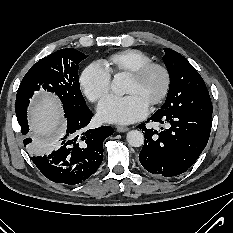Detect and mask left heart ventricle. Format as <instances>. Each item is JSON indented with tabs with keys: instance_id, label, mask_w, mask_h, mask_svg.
<instances>
[{
	"instance_id": "left-heart-ventricle-1",
	"label": "left heart ventricle",
	"mask_w": 233,
	"mask_h": 233,
	"mask_svg": "<svg viewBox=\"0 0 233 233\" xmlns=\"http://www.w3.org/2000/svg\"><path fill=\"white\" fill-rule=\"evenodd\" d=\"M162 86V74L158 70H153L140 81L128 78L125 93L135 94L149 105L159 95Z\"/></svg>"
}]
</instances>
